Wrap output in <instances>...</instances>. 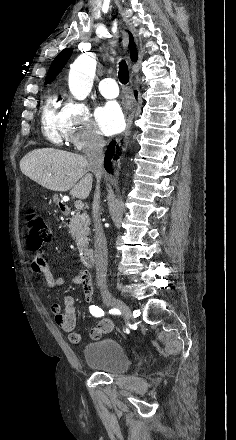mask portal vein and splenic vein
Instances as JSON below:
<instances>
[{
  "mask_svg": "<svg viewBox=\"0 0 236 440\" xmlns=\"http://www.w3.org/2000/svg\"><path fill=\"white\" fill-rule=\"evenodd\" d=\"M74 204H75V208H76L77 210H81V209L84 207V204H83V202H82L81 200H76V201L74 202Z\"/></svg>",
  "mask_w": 236,
  "mask_h": 440,
  "instance_id": "1",
  "label": "portal vein and splenic vein"
}]
</instances>
